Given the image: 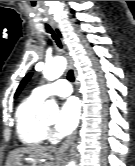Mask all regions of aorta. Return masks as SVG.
Wrapping results in <instances>:
<instances>
[{"label": "aorta", "instance_id": "762f6f07", "mask_svg": "<svg viewBox=\"0 0 135 166\" xmlns=\"http://www.w3.org/2000/svg\"><path fill=\"white\" fill-rule=\"evenodd\" d=\"M66 60L63 57H56L45 64L43 75L47 80L59 78L66 69ZM40 113L44 115L58 113V105L55 100H47L40 108ZM66 166H77L74 160H70Z\"/></svg>", "mask_w": 135, "mask_h": 166}]
</instances>
